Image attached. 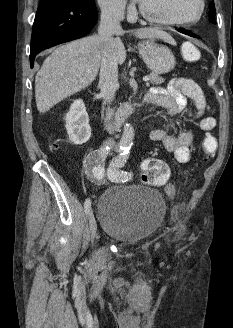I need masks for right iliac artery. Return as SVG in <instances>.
<instances>
[{
    "label": "right iliac artery",
    "mask_w": 233,
    "mask_h": 328,
    "mask_svg": "<svg viewBox=\"0 0 233 328\" xmlns=\"http://www.w3.org/2000/svg\"><path fill=\"white\" fill-rule=\"evenodd\" d=\"M126 149V146L119 145L117 147V152H123ZM110 152V147H103L99 150L91 152L85 160V170L88 178L91 182L100 185L105 176L104 162L107 158L108 153ZM84 210L87 215L90 214L91 210V201L86 199L84 203Z\"/></svg>",
    "instance_id": "obj_1"
}]
</instances>
